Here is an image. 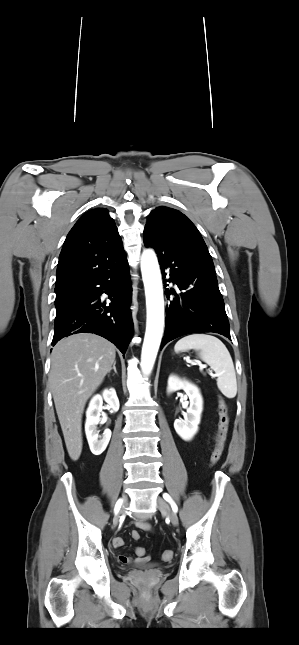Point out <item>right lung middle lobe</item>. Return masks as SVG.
Returning a JSON list of instances; mask_svg holds the SVG:
<instances>
[{
	"mask_svg": "<svg viewBox=\"0 0 299 645\" xmlns=\"http://www.w3.org/2000/svg\"><path fill=\"white\" fill-rule=\"evenodd\" d=\"M75 289H76V287H72V288H67V289H62V290L55 291L56 292V299H55L56 309H58L61 306H63L64 303H66L67 300L69 298H71L75 294Z\"/></svg>",
	"mask_w": 299,
	"mask_h": 645,
	"instance_id": "right-lung-middle-lobe-1",
	"label": "right lung middle lobe"
}]
</instances>
